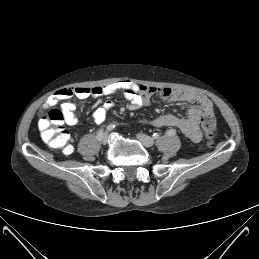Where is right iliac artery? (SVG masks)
Returning a JSON list of instances; mask_svg holds the SVG:
<instances>
[{
  "label": "right iliac artery",
  "instance_id": "82829eb1",
  "mask_svg": "<svg viewBox=\"0 0 259 259\" xmlns=\"http://www.w3.org/2000/svg\"><path fill=\"white\" fill-rule=\"evenodd\" d=\"M103 131H104L103 129H100V130L98 131L97 137H96L98 140L101 139V137H102V135H103Z\"/></svg>",
  "mask_w": 259,
  "mask_h": 259
}]
</instances>
